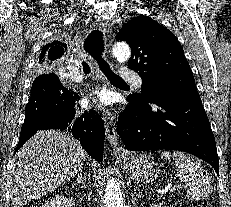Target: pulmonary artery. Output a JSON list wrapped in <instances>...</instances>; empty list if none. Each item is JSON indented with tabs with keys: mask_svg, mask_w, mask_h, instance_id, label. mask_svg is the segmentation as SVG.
<instances>
[{
	"mask_svg": "<svg viewBox=\"0 0 231 207\" xmlns=\"http://www.w3.org/2000/svg\"><path fill=\"white\" fill-rule=\"evenodd\" d=\"M69 76L74 81H81L82 77L80 75L75 74L72 69L69 72ZM120 78H122L125 81H129L132 83V85L136 88H141L143 86V80L140 75H138L136 72L129 70V69H121L119 73Z\"/></svg>",
	"mask_w": 231,
	"mask_h": 207,
	"instance_id": "pulmonary-artery-1",
	"label": "pulmonary artery"
}]
</instances>
